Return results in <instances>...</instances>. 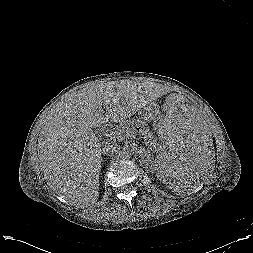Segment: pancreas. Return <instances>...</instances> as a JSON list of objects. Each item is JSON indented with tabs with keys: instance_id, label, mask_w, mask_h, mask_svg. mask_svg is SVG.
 Wrapping results in <instances>:
<instances>
[{
	"instance_id": "pancreas-1",
	"label": "pancreas",
	"mask_w": 253,
	"mask_h": 253,
	"mask_svg": "<svg viewBox=\"0 0 253 253\" xmlns=\"http://www.w3.org/2000/svg\"><path fill=\"white\" fill-rule=\"evenodd\" d=\"M138 127L140 128L139 133L144 138V141L150 145H154L153 134L149 131L146 122L142 120L125 121L113 130H110L107 136L114 140H122L128 138Z\"/></svg>"
}]
</instances>
